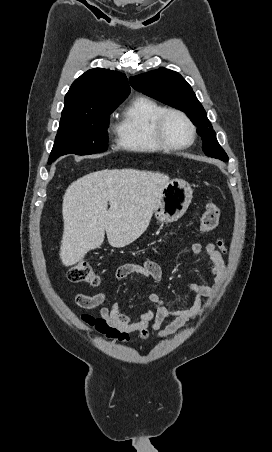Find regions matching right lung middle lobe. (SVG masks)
Wrapping results in <instances>:
<instances>
[{
    "label": "right lung middle lobe",
    "instance_id": "obj_1",
    "mask_svg": "<svg viewBox=\"0 0 272 452\" xmlns=\"http://www.w3.org/2000/svg\"><path fill=\"white\" fill-rule=\"evenodd\" d=\"M119 104L89 115L62 118L48 164L66 154L89 155L107 150L109 114Z\"/></svg>",
    "mask_w": 272,
    "mask_h": 452
}]
</instances>
